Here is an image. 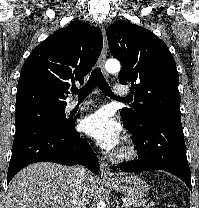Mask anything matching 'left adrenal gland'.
<instances>
[{"label":"left adrenal gland","mask_w":199,"mask_h":208,"mask_svg":"<svg viewBox=\"0 0 199 208\" xmlns=\"http://www.w3.org/2000/svg\"><path fill=\"white\" fill-rule=\"evenodd\" d=\"M116 208H120V207H119V202H117V207H116Z\"/></svg>","instance_id":"obj_1"}]
</instances>
